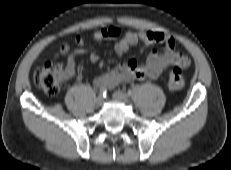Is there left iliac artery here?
Listing matches in <instances>:
<instances>
[{
    "label": "left iliac artery",
    "instance_id": "left-iliac-artery-1",
    "mask_svg": "<svg viewBox=\"0 0 231 170\" xmlns=\"http://www.w3.org/2000/svg\"><path fill=\"white\" fill-rule=\"evenodd\" d=\"M136 90H137V86H135L134 89H132V90H128L127 93H128L129 96H134Z\"/></svg>",
    "mask_w": 231,
    "mask_h": 170
}]
</instances>
